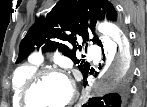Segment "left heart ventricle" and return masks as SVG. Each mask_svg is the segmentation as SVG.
I'll use <instances>...</instances> for the list:
<instances>
[{
	"mask_svg": "<svg viewBox=\"0 0 147 107\" xmlns=\"http://www.w3.org/2000/svg\"><path fill=\"white\" fill-rule=\"evenodd\" d=\"M71 93L69 82L60 76H49L31 92L30 101L34 107H59Z\"/></svg>",
	"mask_w": 147,
	"mask_h": 107,
	"instance_id": "b2bd125f",
	"label": "left heart ventricle"
}]
</instances>
